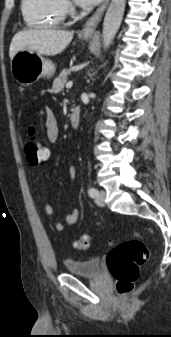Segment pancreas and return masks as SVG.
Returning <instances> with one entry per match:
<instances>
[{
  "mask_svg": "<svg viewBox=\"0 0 171 337\" xmlns=\"http://www.w3.org/2000/svg\"><path fill=\"white\" fill-rule=\"evenodd\" d=\"M68 75H69L68 69H63L61 71L58 77H56V79L53 81V87H52L53 93H59L63 90L64 85L67 81Z\"/></svg>",
  "mask_w": 171,
  "mask_h": 337,
  "instance_id": "pancreas-1",
  "label": "pancreas"
}]
</instances>
